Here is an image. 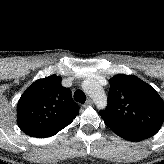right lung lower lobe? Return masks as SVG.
Listing matches in <instances>:
<instances>
[{"label": "right lung lower lobe", "instance_id": "1", "mask_svg": "<svg viewBox=\"0 0 164 164\" xmlns=\"http://www.w3.org/2000/svg\"><path fill=\"white\" fill-rule=\"evenodd\" d=\"M73 121V120H72ZM72 121L70 122H67V123H64L50 131H47V132H44V133H41L40 135L36 136V138H46V137H50V136H53L55 135L56 133H58L60 130H62L63 128H65L67 125H69Z\"/></svg>", "mask_w": 164, "mask_h": 164}]
</instances>
